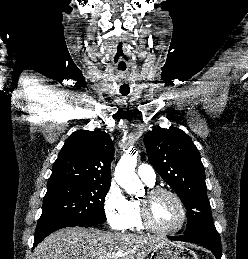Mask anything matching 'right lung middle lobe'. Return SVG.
<instances>
[{
  "label": "right lung middle lobe",
  "mask_w": 248,
  "mask_h": 259,
  "mask_svg": "<svg viewBox=\"0 0 248 259\" xmlns=\"http://www.w3.org/2000/svg\"><path fill=\"white\" fill-rule=\"evenodd\" d=\"M110 183H62L47 185L38 224L62 221L94 226L106 221L104 199Z\"/></svg>",
  "instance_id": "obj_1"
}]
</instances>
